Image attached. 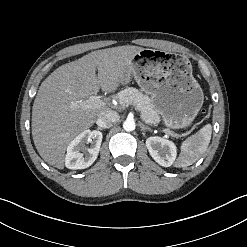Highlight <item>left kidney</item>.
<instances>
[{"instance_id": "1", "label": "left kidney", "mask_w": 247, "mask_h": 247, "mask_svg": "<svg viewBox=\"0 0 247 247\" xmlns=\"http://www.w3.org/2000/svg\"><path fill=\"white\" fill-rule=\"evenodd\" d=\"M146 147L151 157L163 167H170L176 159L177 148L172 141L157 136L149 137Z\"/></svg>"}]
</instances>
